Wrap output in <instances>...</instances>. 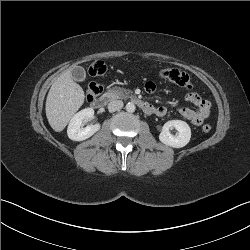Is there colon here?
<instances>
[{
  "instance_id": "colon-1",
  "label": "colon",
  "mask_w": 250,
  "mask_h": 250,
  "mask_svg": "<svg viewBox=\"0 0 250 250\" xmlns=\"http://www.w3.org/2000/svg\"><path fill=\"white\" fill-rule=\"evenodd\" d=\"M106 72V65L103 61L93 62L89 68L88 73L91 76H102ZM159 75L162 79L174 83L180 87L191 89L192 88V79L191 77L178 69L174 68H165L159 71ZM102 92V86L98 83H91L87 88V99L89 101L95 100ZM204 132H209L211 126L209 124H204L202 126Z\"/></svg>"
}]
</instances>
